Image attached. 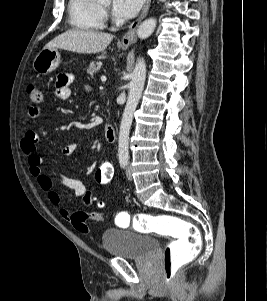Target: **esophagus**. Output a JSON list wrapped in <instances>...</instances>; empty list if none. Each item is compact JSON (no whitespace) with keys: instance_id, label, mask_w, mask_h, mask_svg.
Segmentation results:
<instances>
[{"instance_id":"1","label":"esophagus","mask_w":267,"mask_h":301,"mask_svg":"<svg viewBox=\"0 0 267 301\" xmlns=\"http://www.w3.org/2000/svg\"><path fill=\"white\" fill-rule=\"evenodd\" d=\"M151 0H146V3L142 9L140 16L130 25L129 30L123 36L120 45L122 47H129L131 44L136 42V30L140 22L146 17L149 7H150Z\"/></svg>"}]
</instances>
